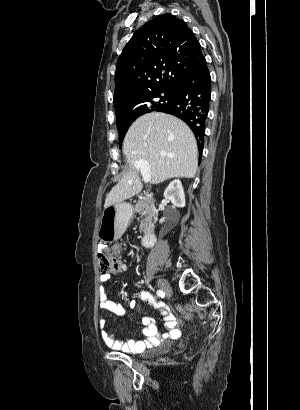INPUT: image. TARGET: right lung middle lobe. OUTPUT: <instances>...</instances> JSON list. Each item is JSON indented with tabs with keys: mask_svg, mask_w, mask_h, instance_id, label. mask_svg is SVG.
<instances>
[{
	"mask_svg": "<svg viewBox=\"0 0 300 410\" xmlns=\"http://www.w3.org/2000/svg\"><path fill=\"white\" fill-rule=\"evenodd\" d=\"M174 94L175 89H169L149 93L141 97L138 101L139 112L136 116L117 120L120 142H122L128 128L137 117L148 112L158 111L163 106L170 104L174 99Z\"/></svg>",
	"mask_w": 300,
	"mask_h": 410,
	"instance_id": "right-lung-middle-lobe-1",
	"label": "right lung middle lobe"
}]
</instances>
